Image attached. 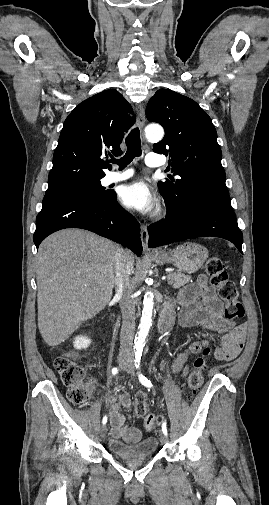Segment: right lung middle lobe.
I'll use <instances>...</instances> for the list:
<instances>
[{
	"label": "right lung middle lobe",
	"mask_w": 269,
	"mask_h": 505,
	"mask_svg": "<svg viewBox=\"0 0 269 505\" xmlns=\"http://www.w3.org/2000/svg\"><path fill=\"white\" fill-rule=\"evenodd\" d=\"M64 193L83 194L97 200L106 199L112 194L110 191H106L105 188L102 187L100 179H93L60 188L49 189L46 191V195L44 197Z\"/></svg>",
	"instance_id": "dd1d6c3e"
}]
</instances>
